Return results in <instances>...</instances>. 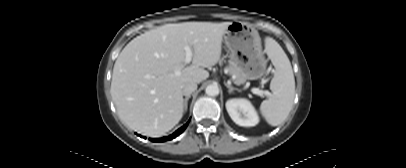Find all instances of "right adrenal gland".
<instances>
[{
	"instance_id": "2a0ac1e0",
	"label": "right adrenal gland",
	"mask_w": 406,
	"mask_h": 168,
	"mask_svg": "<svg viewBox=\"0 0 406 168\" xmlns=\"http://www.w3.org/2000/svg\"><path fill=\"white\" fill-rule=\"evenodd\" d=\"M190 95L184 99V112H187L188 109V100L190 99Z\"/></svg>"
}]
</instances>
